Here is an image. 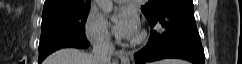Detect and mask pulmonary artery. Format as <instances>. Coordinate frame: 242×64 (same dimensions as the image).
I'll return each instance as SVG.
<instances>
[{
	"label": "pulmonary artery",
	"instance_id": "e3ab8cb5",
	"mask_svg": "<svg viewBox=\"0 0 242 64\" xmlns=\"http://www.w3.org/2000/svg\"><path fill=\"white\" fill-rule=\"evenodd\" d=\"M115 2L117 3H123V2H126V0H114Z\"/></svg>",
	"mask_w": 242,
	"mask_h": 64
}]
</instances>
